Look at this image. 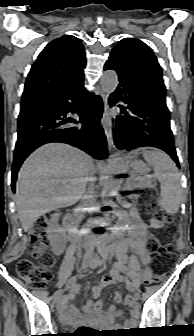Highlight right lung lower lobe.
I'll list each match as a JSON object with an SVG mask.
<instances>
[{
    "instance_id": "obj_1",
    "label": "right lung lower lobe",
    "mask_w": 194,
    "mask_h": 336,
    "mask_svg": "<svg viewBox=\"0 0 194 336\" xmlns=\"http://www.w3.org/2000/svg\"><path fill=\"white\" fill-rule=\"evenodd\" d=\"M102 111L101 98L84 88V76L62 91L21 105L12 166L13 192L20 166L31 152L45 143H67L95 159L107 158L106 137L100 124ZM69 113L79 118H68Z\"/></svg>"
}]
</instances>
